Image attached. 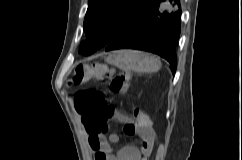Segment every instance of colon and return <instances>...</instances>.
Segmentation results:
<instances>
[{"label": "colon", "mask_w": 242, "mask_h": 160, "mask_svg": "<svg viewBox=\"0 0 242 160\" xmlns=\"http://www.w3.org/2000/svg\"><path fill=\"white\" fill-rule=\"evenodd\" d=\"M92 79L108 80L109 91L112 94H120L128 89V74L116 73L103 63L77 64L70 84L81 85ZM74 105L77 112L81 114L82 122L89 133L94 135L106 133V123L114 116L115 111L103 92L91 89L78 91L75 95ZM135 112L141 113L140 110H135ZM127 132L131 135L134 134L132 129Z\"/></svg>", "instance_id": "colon-1"}]
</instances>
